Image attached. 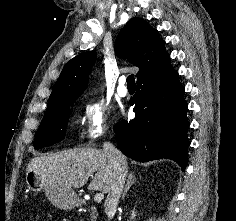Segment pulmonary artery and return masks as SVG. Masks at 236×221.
<instances>
[{
	"label": "pulmonary artery",
	"instance_id": "pulmonary-artery-1",
	"mask_svg": "<svg viewBox=\"0 0 236 221\" xmlns=\"http://www.w3.org/2000/svg\"><path fill=\"white\" fill-rule=\"evenodd\" d=\"M126 77H121L119 80V85L117 88V93L121 97H125L128 95V89L125 87Z\"/></svg>",
	"mask_w": 236,
	"mask_h": 221
}]
</instances>
